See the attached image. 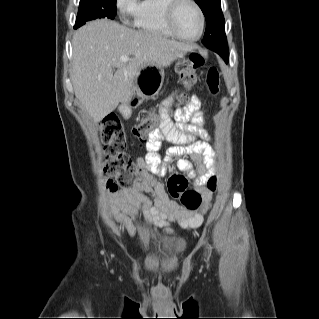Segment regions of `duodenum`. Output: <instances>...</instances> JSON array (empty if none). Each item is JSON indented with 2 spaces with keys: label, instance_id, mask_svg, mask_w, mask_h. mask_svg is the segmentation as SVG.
I'll use <instances>...</instances> for the list:
<instances>
[{
  "label": "duodenum",
  "instance_id": "obj_1",
  "mask_svg": "<svg viewBox=\"0 0 319 319\" xmlns=\"http://www.w3.org/2000/svg\"><path fill=\"white\" fill-rule=\"evenodd\" d=\"M133 108V104L129 103L124 108L121 109V113L124 115L128 114V111Z\"/></svg>",
  "mask_w": 319,
  "mask_h": 319
}]
</instances>
